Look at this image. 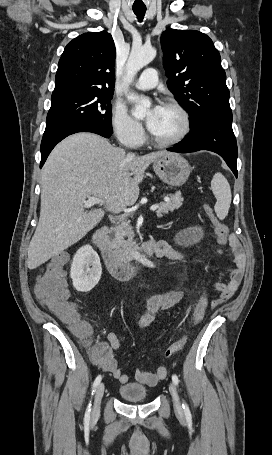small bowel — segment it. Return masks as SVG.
<instances>
[{
    "label": "small bowel",
    "mask_w": 272,
    "mask_h": 455,
    "mask_svg": "<svg viewBox=\"0 0 272 455\" xmlns=\"http://www.w3.org/2000/svg\"><path fill=\"white\" fill-rule=\"evenodd\" d=\"M202 237V229L200 227H192L178 233L175 243L177 246L186 247L200 241ZM153 243L155 254L158 257H166L174 261H184L186 259V256L181 251L166 241H156ZM228 243L236 267L231 271L228 282H216L214 284V289L219 294V299L212 302L213 307L224 303L234 295L242 281L246 267V256L238 238L234 234H231L228 237ZM183 296L184 292L182 290H168L151 296L147 301L141 326L145 327L149 325L158 311L175 307L182 300ZM107 338L108 343H102L96 348L93 353V359L103 370L112 373L114 378L121 384H126L129 380L128 376L122 372L114 356V350L120 347V340L115 333H109ZM166 375L167 369L164 366H159L154 372H148L144 369H137L135 371L136 381L149 386L155 385L160 380H163Z\"/></svg>",
    "instance_id": "obj_1"
}]
</instances>
